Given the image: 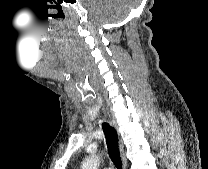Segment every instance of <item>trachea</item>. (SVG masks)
I'll return each mask as SVG.
<instances>
[{
    "mask_svg": "<svg viewBox=\"0 0 208 169\" xmlns=\"http://www.w3.org/2000/svg\"><path fill=\"white\" fill-rule=\"evenodd\" d=\"M102 129L106 137L109 157L117 169H122V159L119 151L117 133L109 123H102Z\"/></svg>",
    "mask_w": 208,
    "mask_h": 169,
    "instance_id": "obj_1",
    "label": "trachea"
}]
</instances>
